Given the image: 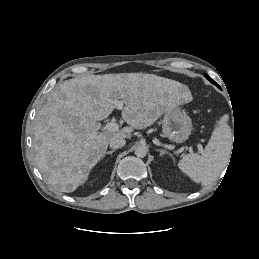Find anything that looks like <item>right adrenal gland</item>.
I'll use <instances>...</instances> for the list:
<instances>
[{"mask_svg":"<svg viewBox=\"0 0 259 259\" xmlns=\"http://www.w3.org/2000/svg\"><path fill=\"white\" fill-rule=\"evenodd\" d=\"M116 151V149H112L111 151H107L104 155H103V157H105V155H111L112 156V154L114 153Z\"/></svg>","mask_w":259,"mask_h":259,"instance_id":"2a0ac1e0","label":"right adrenal gland"}]
</instances>
